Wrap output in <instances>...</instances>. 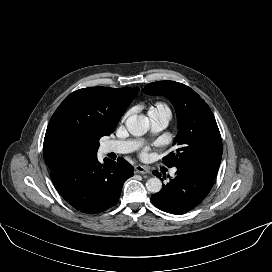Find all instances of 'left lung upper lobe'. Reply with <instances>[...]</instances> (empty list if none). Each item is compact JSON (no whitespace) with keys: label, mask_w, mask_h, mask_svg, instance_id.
I'll return each instance as SVG.
<instances>
[{"label":"left lung upper lobe","mask_w":272,"mask_h":272,"mask_svg":"<svg viewBox=\"0 0 272 272\" xmlns=\"http://www.w3.org/2000/svg\"><path fill=\"white\" fill-rule=\"evenodd\" d=\"M148 95L167 97L178 117L176 151L163 158L167 167H184L215 179L222 157L221 135L206 102L191 88L174 81L146 85Z\"/></svg>","instance_id":"1"}]
</instances>
